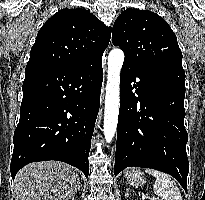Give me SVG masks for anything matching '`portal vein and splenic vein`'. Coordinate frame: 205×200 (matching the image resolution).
<instances>
[{
  "label": "portal vein and splenic vein",
  "mask_w": 205,
  "mask_h": 200,
  "mask_svg": "<svg viewBox=\"0 0 205 200\" xmlns=\"http://www.w3.org/2000/svg\"><path fill=\"white\" fill-rule=\"evenodd\" d=\"M152 200H160L159 197H153Z\"/></svg>",
  "instance_id": "1"
}]
</instances>
